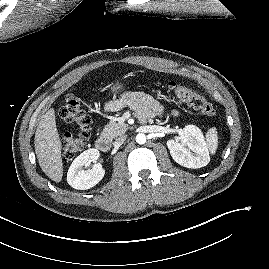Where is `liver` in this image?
I'll return each instance as SVG.
<instances>
[{
	"label": "liver",
	"mask_w": 269,
	"mask_h": 269,
	"mask_svg": "<svg viewBox=\"0 0 269 269\" xmlns=\"http://www.w3.org/2000/svg\"><path fill=\"white\" fill-rule=\"evenodd\" d=\"M35 152L42 171L53 181L63 176L61 142L56 127L55 110L50 108L40 120L35 132Z\"/></svg>",
	"instance_id": "liver-1"
}]
</instances>
